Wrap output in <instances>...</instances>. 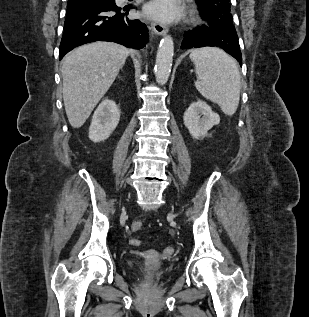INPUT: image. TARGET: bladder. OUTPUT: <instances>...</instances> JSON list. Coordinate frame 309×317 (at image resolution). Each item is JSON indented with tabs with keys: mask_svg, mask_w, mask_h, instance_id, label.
Listing matches in <instances>:
<instances>
[{
	"mask_svg": "<svg viewBox=\"0 0 309 317\" xmlns=\"http://www.w3.org/2000/svg\"><path fill=\"white\" fill-rule=\"evenodd\" d=\"M143 279L145 281H147V282H150V281H152L153 276L149 272H144L143 273Z\"/></svg>",
	"mask_w": 309,
	"mask_h": 317,
	"instance_id": "bladder-1",
	"label": "bladder"
}]
</instances>
